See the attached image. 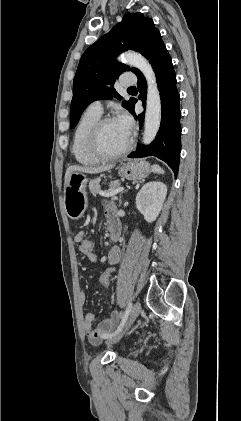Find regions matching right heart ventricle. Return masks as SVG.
<instances>
[{
	"mask_svg": "<svg viewBox=\"0 0 241 421\" xmlns=\"http://www.w3.org/2000/svg\"><path fill=\"white\" fill-rule=\"evenodd\" d=\"M100 117L101 114L87 108L75 127L71 151L75 160L82 165H95L100 161L90 153L87 146L89 132Z\"/></svg>",
	"mask_w": 241,
	"mask_h": 421,
	"instance_id": "right-heart-ventricle-1",
	"label": "right heart ventricle"
}]
</instances>
